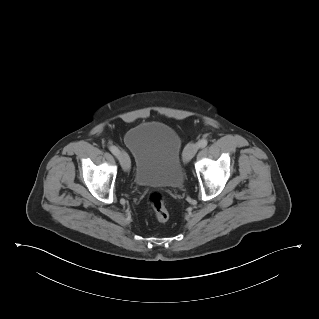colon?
Here are the masks:
<instances>
[{
  "label": "colon",
  "instance_id": "colon-1",
  "mask_svg": "<svg viewBox=\"0 0 319 319\" xmlns=\"http://www.w3.org/2000/svg\"><path fill=\"white\" fill-rule=\"evenodd\" d=\"M149 204L154 211L155 217L160 222H166L169 212L165 206L164 197L159 192H153L149 196Z\"/></svg>",
  "mask_w": 319,
  "mask_h": 319
}]
</instances>
